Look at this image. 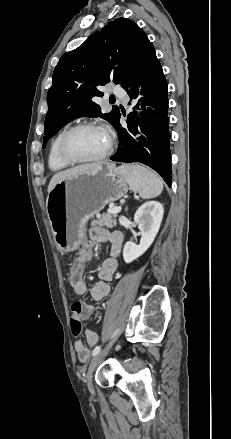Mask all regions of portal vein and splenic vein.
I'll return each instance as SVG.
<instances>
[{
	"instance_id": "obj_1",
	"label": "portal vein and splenic vein",
	"mask_w": 231,
	"mask_h": 439,
	"mask_svg": "<svg viewBox=\"0 0 231 439\" xmlns=\"http://www.w3.org/2000/svg\"><path fill=\"white\" fill-rule=\"evenodd\" d=\"M109 214H118L121 212V207H112L107 210Z\"/></svg>"
}]
</instances>
